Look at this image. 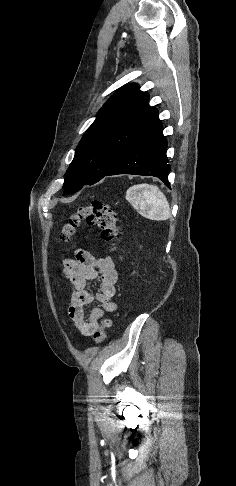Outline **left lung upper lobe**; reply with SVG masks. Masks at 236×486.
Masks as SVG:
<instances>
[{
  "instance_id": "left-lung-upper-lobe-1",
  "label": "left lung upper lobe",
  "mask_w": 236,
  "mask_h": 486,
  "mask_svg": "<svg viewBox=\"0 0 236 486\" xmlns=\"http://www.w3.org/2000/svg\"><path fill=\"white\" fill-rule=\"evenodd\" d=\"M137 84L120 88L99 110L78 144L64 180L66 194L101 180L132 142L159 117Z\"/></svg>"
}]
</instances>
